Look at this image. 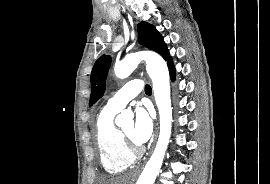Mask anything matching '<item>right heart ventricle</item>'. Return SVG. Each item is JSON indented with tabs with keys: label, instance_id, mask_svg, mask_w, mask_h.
<instances>
[{
	"label": "right heart ventricle",
	"instance_id": "obj_1",
	"mask_svg": "<svg viewBox=\"0 0 270 184\" xmlns=\"http://www.w3.org/2000/svg\"><path fill=\"white\" fill-rule=\"evenodd\" d=\"M117 112L105 106L96 121V142L100 161L109 174L121 173L135 160L127 153L120 131L114 124Z\"/></svg>",
	"mask_w": 270,
	"mask_h": 184
}]
</instances>
